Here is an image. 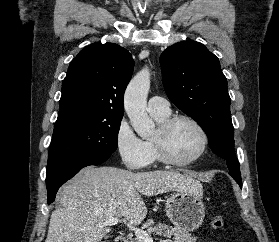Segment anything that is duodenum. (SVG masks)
I'll list each match as a JSON object with an SVG mask.
<instances>
[{
  "mask_svg": "<svg viewBox=\"0 0 279 242\" xmlns=\"http://www.w3.org/2000/svg\"><path fill=\"white\" fill-rule=\"evenodd\" d=\"M114 242H128L124 237H117Z\"/></svg>",
  "mask_w": 279,
  "mask_h": 242,
  "instance_id": "obj_1",
  "label": "duodenum"
}]
</instances>
